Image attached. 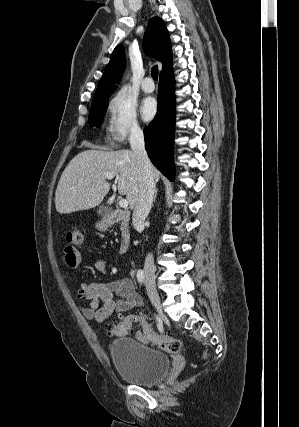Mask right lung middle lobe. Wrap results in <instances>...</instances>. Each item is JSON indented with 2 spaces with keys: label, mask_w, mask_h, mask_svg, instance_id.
Instances as JSON below:
<instances>
[{
  "label": "right lung middle lobe",
  "mask_w": 299,
  "mask_h": 427,
  "mask_svg": "<svg viewBox=\"0 0 299 427\" xmlns=\"http://www.w3.org/2000/svg\"><path fill=\"white\" fill-rule=\"evenodd\" d=\"M109 96L100 97L94 99L91 105V110L89 113V124L90 126L96 125L99 127L103 120L104 113L107 109V103Z\"/></svg>",
  "instance_id": "dd1d6c3e"
}]
</instances>
